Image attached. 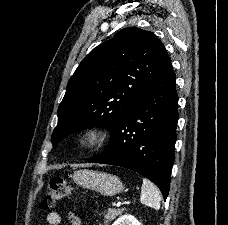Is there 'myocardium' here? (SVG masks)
<instances>
[{
	"label": "myocardium",
	"instance_id": "myocardium-1",
	"mask_svg": "<svg viewBox=\"0 0 228 225\" xmlns=\"http://www.w3.org/2000/svg\"><path fill=\"white\" fill-rule=\"evenodd\" d=\"M78 141L84 147L100 149L108 145L110 134L100 125H89L79 133Z\"/></svg>",
	"mask_w": 228,
	"mask_h": 225
}]
</instances>
